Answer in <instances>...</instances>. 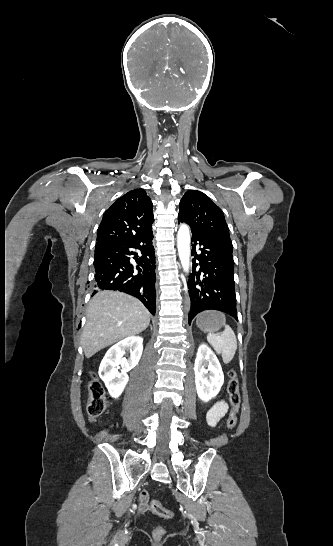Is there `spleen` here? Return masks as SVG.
I'll list each match as a JSON object with an SVG mask.
<instances>
[{
	"mask_svg": "<svg viewBox=\"0 0 333 546\" xmlns=\"http://www.w3.org/2000/svg\"><path fill=\"white\" fill-rule=\"evenodd\" d=\"M220 314L225 319V315H223V313ZM207 341L214 348L216 353L222 355L225 364H228L233 360L237 350V340L234 331L229 325H225V329L221 333H208Z\"/></svg>",
	"mask_w": 333,
	"mask_h": 546,
	"instance_id": "obj_1",
	"label": "spleen"
}]
</instances>
